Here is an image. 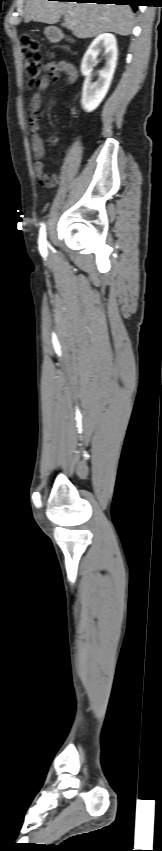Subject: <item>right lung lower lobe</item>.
<instances>
[{
  "instance_id": "right-lung-lower-lobe-1",
  "label": "right lung lower lobe",
  "mask_w": 162,
  "mask_h": 851,
  "mask_svg": "<svg viewBox=\"0 0 162 851\" xmlns=\"http://www.w3.org/2000/svg\"><path fill=\"white\" fill-rule=\"evenodd\" d=\"M59 1H70V0H59ZM77 2H86V3H98V4H117V5H131L138 6L139 0H74Z\"/></svg>"
}]
</instances>
